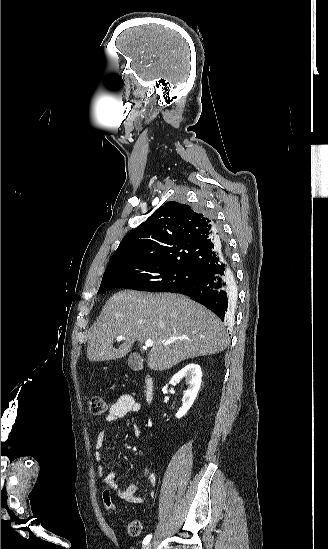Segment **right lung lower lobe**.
<instances>
[{
	"instance_id": "right-lung-lower-lobe-1",
	"label": "right lung lower lobe",
	"mask_w": 328,
	"mask_h": 549,
	"mask_svg": "<svg viewBox=\"0 0 328 549\" xmlns=\"http://www.w3.org/2000/svg\"><path fill=\"white\" fill-rule=\"evenodd\" d=\"M168 292L189 295L214 312L222 321H228L229 297L236 292L235 279L228 257L226 256L215 268L201 273L195 281Z\"/></svg>"
}]
</instances>
